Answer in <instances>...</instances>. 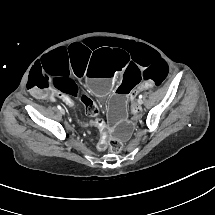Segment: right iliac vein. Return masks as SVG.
<instances>
[{
  "mask_svg": "<svg viewBox=\"0 0 215 215\" xmlns=\"http://www.w3.org/2000/svg\"><path fill=\"white\" fill-rule=\"evenodd\" d=\"M60 113H61L62 115H64V114H65L64 109H61V110H60Z\"/></svg>",
  "mask_w": 215,
  "mask_h": 215,
  "instance_id": "obj_1",
  "label": "right iliac vein"
}]
</instances>
